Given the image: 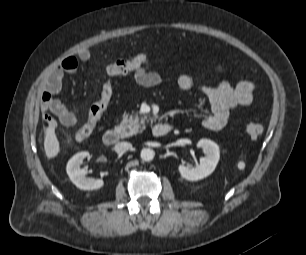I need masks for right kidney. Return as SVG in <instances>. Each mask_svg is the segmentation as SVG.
<instances>
[{
  "label": "right kidney",
  "mask_w": 306,
  "mask_h": 255,
  "mask_svg": "<svg viewBox=\"0 0 306 255\" xmlns=\"http://www.w3.org/2000/svg\"><path fill=\"white\" fill-rule=\"evenodd\" d=\"M89 152L83 151L75 154L67 163L66 171L72 183L82 190H95L104 185L102 179L86 177V171L80 168L84 158Z\"/></svg>",
  "instance_id": "right-kidney-1"
}]
</instances>
